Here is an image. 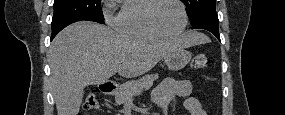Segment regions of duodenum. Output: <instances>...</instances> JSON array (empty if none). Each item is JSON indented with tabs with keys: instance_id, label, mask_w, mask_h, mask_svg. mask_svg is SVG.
Here are the masks:
<instances>
[{
	"instance_id": "410a0bca",
	"label": "duodenum",
	"mask_w": 285,
	"mask_h": 115,
	"mask_svg": "<svg viewBox=\"0 0 285 115\" xmlns=\"http://www.w3.org/2000/svg\"><path fill=\"white\" fill-rule=\"evenodd\" d=\"M116 87H117L116 83L109 81L102 83L99 88L103 94L109 95L115 90Z\"/></svg>"
}]
</instances>
